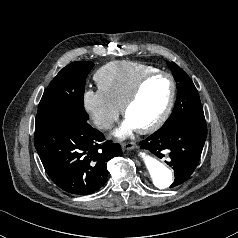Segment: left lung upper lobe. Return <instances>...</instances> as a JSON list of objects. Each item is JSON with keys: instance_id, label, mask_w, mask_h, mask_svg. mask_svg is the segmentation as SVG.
I'll return each mask as SVG.
<instances>
[{"instance_id": "obj_1", "label": "left lung upper lobe", "mask_w": 238, "mask_h": 238, "mask_svg": "<svg viewBox=\"0 0 238 238\" xmlns=\"http://www.w3.org/2000/svg\"><path fill=\"white\" fill-rule=\"evenodd\" d=\"M168 65L177 82V100L164 125L183 117L204 116L199 94L190 77L174 62H168Z\"/></svg>"}]
</instances>
